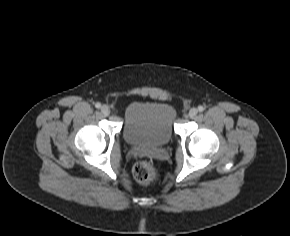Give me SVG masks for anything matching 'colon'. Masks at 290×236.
Here are the masks:
<instances>
[{
  "instance_id": "1",
  "label": "colon",
  "mask_w": 290,
  "mask_h": 236,
  "mask_svg": "<svg viewBox=\"0 0 290 236\" xmlns=\"http://www.w3.org/2000/svg\"><path fill=\"white\" fill-rule=\"evenodd\" d=\"M136 180L144 185H150L157 182L159 178L158 170L150 161H139L135 164L133 170Z\"/></svg>"
}]
</instances>
